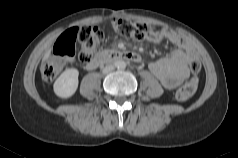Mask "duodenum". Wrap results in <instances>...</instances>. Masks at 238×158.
<instances>
[{"instance_id":"obj_1","label":"duodenum","mask_w":238,"mask_h":158,"mask_svg":"<svg viewBox=\"0 0 238 158\" xmlns=\"http://www.w3.org/2000/svg\"><path fill=\"white\" fill-rule=\"evenodd\" d=\"M117 61H132L140 62L141 57L139 54L127 51H102L95 55L87 64L89 70L96 69L98 66Z\"/></svg>"}]
</instances>
